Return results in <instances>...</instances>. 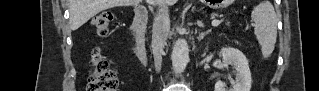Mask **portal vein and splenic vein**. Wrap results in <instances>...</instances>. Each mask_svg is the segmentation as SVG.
Wrapping results in <instances>:
<instances>
[{
  "instance_id": "1",
  "label": "portal vein and splenic vein",
  "mask_w": 319,
  "mask_h": 91,
  "mask_svg": "<svg viewBox=\"0 0 319 91\" xmlns=\"http://www.w3.org/2000/svg\"><path fill=\"white\" fill-rule=\"evenodd\" d=\"M148 3L150 5H154L155 4L153 1H148ZM220 23H221V21H219V20H213L211 24H212L213 27H217Z\"/></svg>"
}]
</instances>
